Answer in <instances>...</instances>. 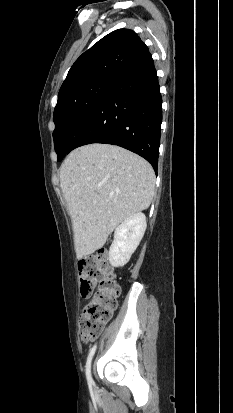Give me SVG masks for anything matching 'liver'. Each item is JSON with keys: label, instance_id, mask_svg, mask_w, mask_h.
I'll return each instance as SVG.
<instances>
[{"label": "liver", "instance_id": "liver-1", "mask_svg": "<svg viewBox=\"0 0 233 413\" xmlns=\"http://www.w3.org/2000/svg\"><path fill=\"white\" fill-rule=\"evenodd\" d=\"M78 259L103 247L113 230L152 201L155 174L142 157L109 144L73 150L60 167Z\"/></svg>", "mask_w": 233, "mask_h": 413}]
</instances>
